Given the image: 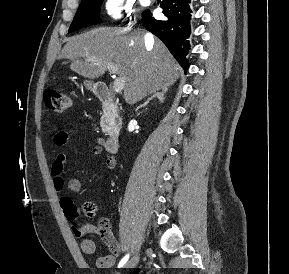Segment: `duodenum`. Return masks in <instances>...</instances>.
Masks as SVG:
<instances>
[{
    "label": "duodenum",
    "instance_id": "410a0bca",
    "mask_svg": "<svg viewBox=\"0 0 289 274\" xmlns=\"http://www.w3.org/2000/svg\"><path fill=\"white\" fill-rule=\"evenodd\" d=\"M95 94L103 103L106 111L112 112L115 117L119 114V105L109 87L104 83H98L95 86ZM104 146L107 152L116 153L119 149V137L116 132L110 134L105 140Z\"/></svg>",
    "mask_w": 289,
    "mask_h": 274
}]
</instances>
